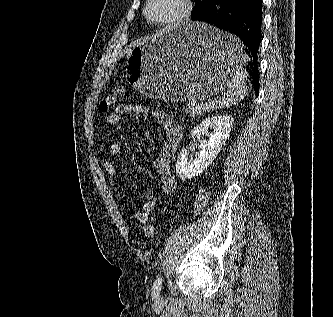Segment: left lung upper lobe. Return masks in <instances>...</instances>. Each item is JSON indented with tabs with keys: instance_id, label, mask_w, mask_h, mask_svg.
<instances>
[{
	"instance_id": "obj_1",
	"label": "left lung upper lobe",
	"mask_w": 333,
	"mask_h": 317,
	"mask_svg": "<svg viewBox=\"0 0 333 317\" xmlns=\"http://www.w3.org/2000/svg\"><path fill=\"white\" fill-rule=\"evenodd\" d=\"M212 0H194L195 7L193 10V15L204 10Z\"/></svg>"
}]
</instances>
